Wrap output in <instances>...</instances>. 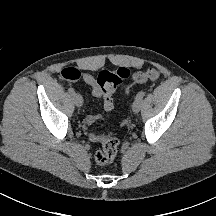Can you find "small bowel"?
I'll return each mask as SVG.
<instances>
[{
    "label": "small bowel",
    "instance_id": "small-bowel-1",
    "mask_svg": "<svg viewBox=\"0 0 216 216\" xmlns=\"http://www.w3.org/2000/svg\"><path fill=\"white\" fill-rule=\"evenodd\" d=\"M80 78L83 82H85L87 85H89L91 88H92V94L94 97L96 98H99V99H103L104 100V94L101 90V88L99 87L98 85V82L97 80L94 78V76H92L91 74L89 73H86V72H83V73H80ZM104 108L105 110L107 111H110L112 110V108H108L105 103H104ZM99 119V115L98 114H89L87 115L86 117V124L88 126H91L93 125L97 120ZM103 138V135L97 133V132H91L89 134V139L92 141V142H99L101 141Z\"/></svg>",
    "mask_w": 216,
    "mask_h": 216
}]
</instances>
